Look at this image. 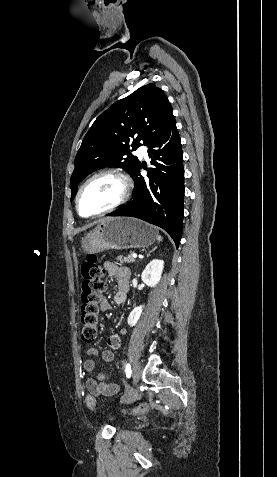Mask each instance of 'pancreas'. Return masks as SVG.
Instances as JSON below:
<instances>
[{"label":"pancreas","mask_w":277,"mask_h":477,"mask_svg":"<svg viewBox=\"0 0 277 477\" xmlns=\"http://www.w3.org/2000/svg\"><path fill=\"white\" fill-rule=\"evenodd\" d=\"M117 261H119L120 263H133L135 261V258L132 256V254H128L127 256H118L117 258Z\"/></svg>","instance_id":"cf45deb5"}]
</instances>
